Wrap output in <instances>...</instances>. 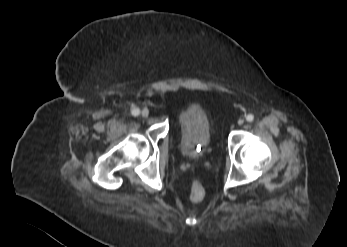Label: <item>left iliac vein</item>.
I'll use <instances>...</instances> for the list:
<instances>
[{"label": "left iliac vein", "instance_id": "left-iliac-vein-1", "mask_svg": "<svg viewBox=\"0 0 347 247\" xmlns=\"http://www.w3.org/2000/svg\"><path fill=\"white\" fill-rule=\"evenodd\" d=\"M243 123H244V120H243V119H239V120H238V125H243Z\"/></svg>", "mask_w": 347, "mask_h": 247}]
</instances>
